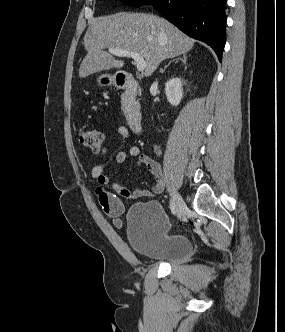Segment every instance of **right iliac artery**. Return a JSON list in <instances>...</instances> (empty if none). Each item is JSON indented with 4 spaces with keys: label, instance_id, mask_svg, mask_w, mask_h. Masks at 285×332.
<instances>
[{
    "label": "right iliac artery",
    "instance_id": "obj_1",
    "mask_svg": "<svg viewBox=\"0 0 285 332\" xmlns=\"http://www.w3.org/2000/svg\"><path fill=\"white\" fill-rule=\"evenodd\" d=\"M170 210L173 214L176 213V208H175V205H174L173 201H170Z\"/></svg>",
    "mask_w": 285,
    "mask_h": 332
}]
</instances>
